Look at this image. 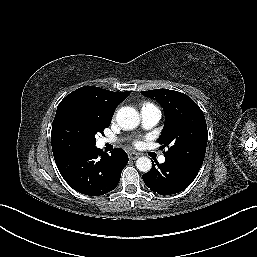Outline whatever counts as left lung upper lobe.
Returning a JSON list of instances; mask_svg holds the SVG:
<instances>
[{"instance_id":"obj_1","label":"left lung upper lobe","mask_w":257,"mask_h":257,"mask_svg":"<svg viewBox=\"0 0 257 257\" xmlns=\"http://www.w3.org/2000/svg\"><path fill=\"white\" fill-rule=\"evenodd\" d=\"M162 105L165 125L158 142L170 146L164 156L203 163L207 146V125L199 106L187 95L168 89L141 92Z\"/></svg>"}]
</instances>
